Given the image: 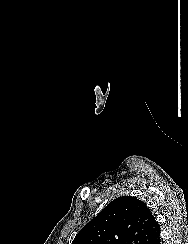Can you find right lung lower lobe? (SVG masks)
<instances>
[{
	"label": "right lung lower lobe",
	"mask_w": 188,
	"mask_h": 244,
	"mask_svg": "<svg viewBox=\"0 0 188 244\" xmlns=\"http://www.w3.org/2000/svg\"><path fill=\"white\" fill-rule=\"evenodd\" d=\"M160 230H158L153 237L151 238V240L148 242V244H160Z\"/></svg>",
	"instance_id": "1"
}]
</instances>
